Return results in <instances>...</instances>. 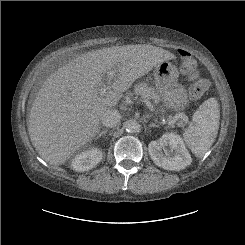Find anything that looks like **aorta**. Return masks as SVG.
<instances>
[{
	"mask_svg": "<svg viewBox=\"0 0 245 245\" xmlns=\"http://www.w3.org/2000/svg\"><path fill=\"white\" fill-rule=\"evenodd\" d=\"M139 124L135 120H128L124 124V128L128 133H135L139 131Z\"/></svg>",
	"mask_w": 245,
	"mask_h": 245,
	"instance_id": "obj_1",
	"label": "aorta"
}]
</instances>
